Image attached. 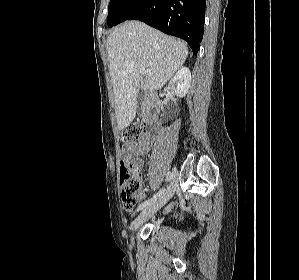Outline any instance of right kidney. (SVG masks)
I'll return each mask as SVG.
<instances>
[{"label":"right kidney","mask_w":299,"mask_h":280,"mask_svg":"<svg viewBox=\"0 0 299 280\" xmlns=\"http://www.w3.org/2000/svg\"><path fill=\"white\" fill-rule=\"evenodd\" d=\"M191 72L189 68L182 67L169 82V87L177 97H185L190 88Z\"/></svg>","instance_id":"ca27d5eb"}]
</instances>
